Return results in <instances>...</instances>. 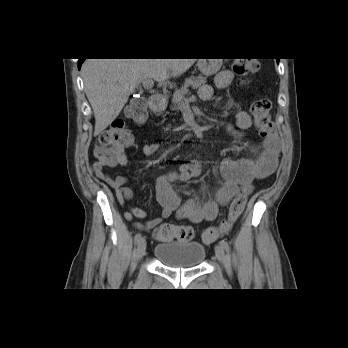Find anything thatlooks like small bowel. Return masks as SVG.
<instances>
[{"instance_id": "c3829d8e", "label": "small bowel", "mask_w": 348, "mask_h": 348, "mask_svg": "<svg viewBox=\"0 0 348 348\" xmlns=\"http://www.w3.org/2000/svg\"><path fill=\"white\" fill-rule=\"evenodd\" d=\"M234 81V74L229 70L220 72L215 80L219 90H225ZM199 97L203 101L213 99V89L210 85H203L199 88ZM223 106L234 113V124H226V131L235 139L243 140L246 131L251 127V118L248 113L237 106L234 102L223 98ZM159 149L158 143H147L143 146L145 155L150 156ZM280 153V140L277 134L268 136L256 161L225 160L221 164V173L224 182L217 188L212 199L200 202L194 197L183 199L174 189L173 183L180 182L184 186V193L192 194V190L187 187L191 181L197 180L202 173V166L199 161H190L182 164L177 170L170 171L154 180V192L158 203L161 206L159 217L145 221L143 224L135 223V226L145 231H152L162 224L163 220L175 214L178 219H185L192 223L212 221L216 218L220 206L227 205L238 192L249 193L253 183L262 180L276 170ZM129 160L125 154L116 164H103L96 162L93 165L94 175L111 186L121 205H124L131 197V190L126 186L127 177H112L106 171V166H127ZM126 220L132 221L133 218L143 219L146 216L144 210L137 207H129L125 211Z\"/></svg>"}]
</instances>
